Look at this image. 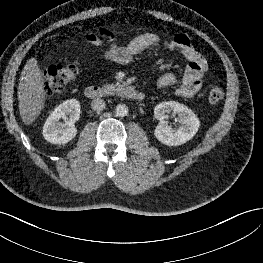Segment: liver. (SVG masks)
I'll return each mask as SVG.
<instances>
[{"label": "liver", "mask_w": 263, "mask_h": 263, "mask_svg": "<svg viewBox=\"0 0 263 263\" xmlns=\"http://www.w3.org/2000/svg\"><path fill=\"white\" fill-rule=\"evenodd\" d=\"M45 95L43 73L36 58H30L21 72L18 85V107L25 124H31L40 115Z\"/></svg>", "instance_id": "obj_1"}]
</instances>
